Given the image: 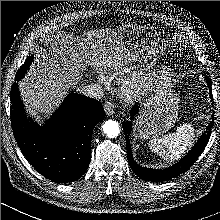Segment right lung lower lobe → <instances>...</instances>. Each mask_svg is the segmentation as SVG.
Instances as JSON below:
<instances>
[{
	"label": "right lung lower lobe",
	"instance_id": "right-lung-lower-lobe-1",
	"mask_svg": "<svg viewBox=\"0 0 220 220\" xmlns=\"http://www.w3.org/2000/svg\"><path fill=\"white\" fill-rule=\"evenodd\" d=\"M11 123L15 139L30 164L45 178L67 183L79 179L91 160V136L104 120L102 104L69 94L49 121L27 118L15 83L11 88Z\"/></svg>",
	"mask_w": 220,
	"mask_h": 220
}]
</instances>
